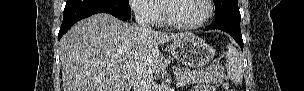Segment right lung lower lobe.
I'll use <instances>...</instances> for the list:
<instances>
[{
    "instance_id": "obj_1",
    "label": "right lung lower lobe",
    "mask_w": 304,
    "mask_h": 91,
    "mask_svg": "<svg viewBox=\"0 0 304 91\" xmlns=\"http://www.w3.org/2000/svg\"><path fill=\"white\" fill-rule=\"evenodd\" d=\"M102 12L109 13L124 21L131 18V10L118 7L113 3V0H67L58 39L77 21Z\"/></svg>"
}]
</instances>
